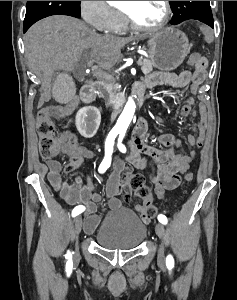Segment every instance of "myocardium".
<instances>
[{"mask_svg": "<svg viewBox=\"0 0 237 300\" xmlns=\"http://www.w3.org/2000/svg\"><path fill=\"white\" fill-rule=\"evenodd\" d=\"M164 2V7H165V13L162 18V20L154 25V26H144L138 24L132 16L124 9H121L122 16L127 23L132 29L137 30V31H159L163 29L168 22L170 21L171 18V4L170 1H163Z\"/></svg>", "mask_w": 237, "mask_h": 300, "instance_id": "f54148a6", "label": "myocardium"}]
</instances>
